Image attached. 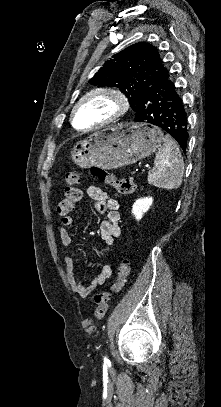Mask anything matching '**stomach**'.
I'll list each match as a JSON object with an SVG mask.
<instances>
[{
	"label": "stomach",
	"mask_w": 221,
	"mask_h": 407,
	"mask_svg": "<svg viewBox=\"0 0 221 407\" xmlns=\"http://www.w3.org/2000/svg\"><path fill=\"white\" fill-rule=\"evenodd\" d=\"M162 139V131L146 123L118 124L76 142L71 158L81 168L117 169L148 157L161 147Z\"/></svg>",
	"instance_id": "stomach-1"
}]
</instances>
